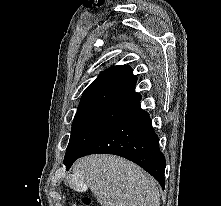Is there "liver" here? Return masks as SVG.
Listing matches in <instances>:
<instances>
[{
  "mask_svg": "<svg viewBox=\"0 0 221 206\" xmlns=\"http://www.w3.org/2000/svg\"><path fill=\"white\" fill-rule=\"evenodd\" d=\"M65 184L77 192L89 188L101 206H160L155 179L136 164L113 155L79 159Z\"/></svg>",
  "mask_w": 221,
  "mask_h": 206,
  "instance_id": "6515ba94",
  "label": "liver"
}]
</instances>
